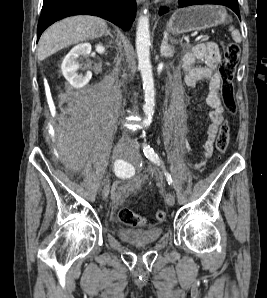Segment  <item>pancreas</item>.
I'll return each mask as SVG.
<instances>
[{"label": "pancreas", "instance_id": "pancreas-1", "mask_svg": "<svg viewBox=\"0 0 267 298\" xmlns=\"http://www.w3.org/2000/svg\"><path fill=\"white\" fill-rule=\"evenodd\" d=\"M207 39H208V38L205 37V38L202 39V41H206Z\"/></svg>", "mask_w": 267, "mask_h": 298}]
</instances>
